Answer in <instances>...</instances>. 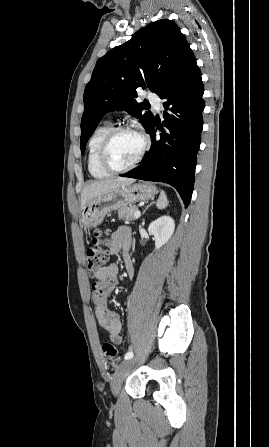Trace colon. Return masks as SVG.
Segmentation results:
<instances>
[{"label": "colon", "instance_id": "1", "mask_svg": "<svg viewBox=\"0 0 269 447\" xmlns=\"http://www.w3.org/2000/svg\"><path fill=\"white\" fill-rule=\"evenodd\" d=\"M109 242V235L107 230L95 228L92 238L93 248L85 253V261L87 268V275L94 278L109 262V253L106 246ZM104 356L108 359H115L119 357V350L109 341H104L101 346Z\"/></svg>", "mask_w": 269, "mask_h": 447}]
</instances>
